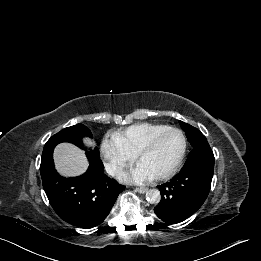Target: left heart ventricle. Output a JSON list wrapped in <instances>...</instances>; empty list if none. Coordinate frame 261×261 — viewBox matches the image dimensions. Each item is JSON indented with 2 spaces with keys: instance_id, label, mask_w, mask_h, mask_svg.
Returning <instances> with one entry per match:
<instances>
[{
  "instance_id": "1",
  "label": "left heart ventricle",
  "mask_w": 261,
  "mask_h": 261,
  "mask_svg": "<svg viewBox=\"0 0 261 261\" xmlns=\"http://www.w3.org/2000/svg\"><path fill=\"white\" fill-rule=\"evenodd\" d=\"M181 146V137L175 132H168L158 140L153 150L145 155L139 163L154 176L163 174L176 162Z\"/></svg>"
}]
</instances>
